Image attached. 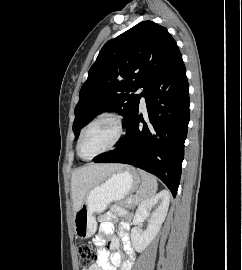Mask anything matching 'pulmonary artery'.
I'll list each match as a JSON object with an SVG mask.
<instances>
[{
	"instance_id": "e3ab8cb5",
	"label": "pulmonary artery",
	"mask_w": 242,
	"mask_h": 270,
	"mask_svg": "<svg viewBox=\"0 0 242 270\" xmlns=\"http://www.w3.org/2000/svg\"><path fill=\"white\" fill-rule=\"evenodd\" d=\"M142 92H143L142 89L138 90L139 94H142ZM140 107H141L142 110H145V108H146V99H145V97L143 95L141 96V99H140Z\"/></svg>"
}]
</instances>
